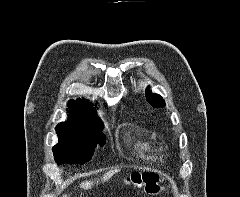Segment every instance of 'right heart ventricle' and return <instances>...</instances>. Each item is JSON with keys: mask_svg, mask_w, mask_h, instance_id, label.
I'll return each mask as SVG.
<instances>
[{"mask_svg": "<svg viewBox=\"0 0 240 197\" xmlns=\"http://www.w3.org/2000/svg\"><path fill=\"white\" fill-rule=\"evenodd\" d=\"M132 146L140 158L151 162L157 159L156 148L148 139L136 137L132 140Z\"/></svg>", "mask_w": 240, "mask_h": 197, "instance_id": "e07e8e85", "label": "right heart ventricle"}]
</instances>
